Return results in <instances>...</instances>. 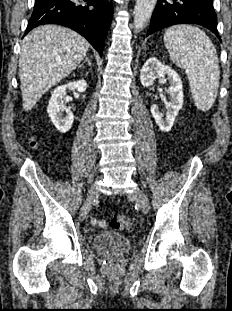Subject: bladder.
<instances>
[{"label": "bladder", "mask_w": 232, "mask_h": 311, "mask_svg": "<svg viewBox=\"0 0 232 311\" xmlns=\"http://www.w3.org/2000/svg\"><path fill=\"white\" fill-rule=\"evenodd\" d=\"M97 251H109L124 253L130 249V240L123 234L114 231H103L96 234L92 239Z\"/></svg>", "instance_id": "1"}]
</instances>
